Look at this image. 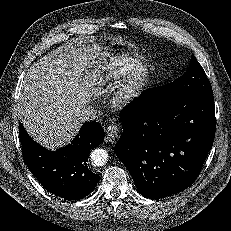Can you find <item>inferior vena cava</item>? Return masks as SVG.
Returning <instances> with one entry per match:
<instances>
[{"instance_id": "602c4592", "label": "inferior vena cava", "mask_w": 231, "mask_h": 231, "mask_svg": "<svg viewBox=\"0 0 231 231\" xmlns=\"http://www.w3.org/2000/svg\"><path fill=\"white\" fill-rule=\"evenodd\" d=\"M77 117L81 122L93 121L97 117V111L93 106H84L78 111Z\"/></svg>"}]
</instances>
